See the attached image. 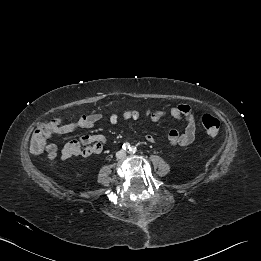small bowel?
<instances>
[{
    "instance_id": "obj_1",
    "label": "small bowel",
    "mask_w": 261,
    "mask_h": 261,
    "mask_svg": "<svg viewBox=\"0 0 261 261\" xmlns=\"http://www.w3.org/2000/svg\"><path fill=\"white\" fill-rule=\"evenodd\" d=\"M165 115L164 111L154 110L150 114V119L154 122H158ZM170 115L177 120L184 119L185 128L183 132L177 130H171L168 134V142L173 146H187L191 144L195 139L196 125L194 111L189 105L180 104L170 109ZM101 115L98 113H92L82 115L75 122L67 124H55L51 128L52 134H67L78 128H91L100 119ZM111 123L117 122V117L112 116L110 118ZM148 142L153 143L155 138L153 135L148 134L146 136ZM107 143L105 136L97 135H83L78 140L69 141L61 152V158L64 160L75 157H89L99 154L103 151L104 146ZM48 157L52 160L57 156V147L54 144L47 146Z\"/></svg>"
}]
</instances>
